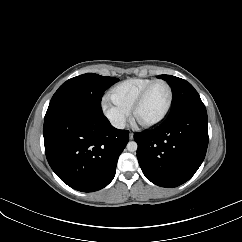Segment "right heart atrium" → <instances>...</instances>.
Segmentation results:
<instances>
[{"label":"right heart atrium","instance_id":"right-heart-atrium-1","mask_svg":"<svg viewBox=\"0 0 242 242\" xmlns=\"http://www.w3.org/2000/svg\"><path fill=\"white\" fill-rule=\"evenodd\" d=\"M102 110L106 118L116 128H123L129 119V113L107 97L102 101Z\"/></svg>","mask_w":242,"mask_h":242}]
</instances>
